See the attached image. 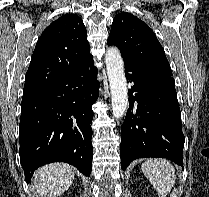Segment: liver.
Returning <instances> with one entry per match:
<instances>
[{
	"instance_id": "6515ba94",
	"label": "liver",
	"mask_w": 209,
	"mask_h": 197,
	"mask_svg": "<svg viewBox=\"0 0 209 197\" xmlns=\"http://www.w3.org/2000/svg\"><path fill=\"white\" fill-rule=\"evenodd\" d=\"M74 174L72 166L65 163L45 165L34 173V187L41 197H56L72 185Z\"/></svg>"
}]
</instances>
